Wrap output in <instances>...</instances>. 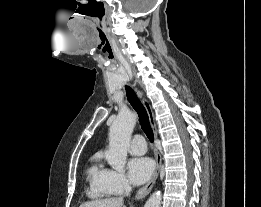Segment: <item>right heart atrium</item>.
Listing matches in <instances>:
<instances>
[{"mask_svg": "<svg viewBox=\"0 0 261 207\" xmlns=\"http://www.w3.org/2000/svg\"><path fill=\"white\" fill-rule=\"evenodd\" d=\"M106 185L111 194H121L129 188L126 177L115 170H108Z\"/></svg>", "mask_w": 261, "mask_h": 207, "instance_id": "obj_1", "label": "right heart atrium"}]
</instances>
